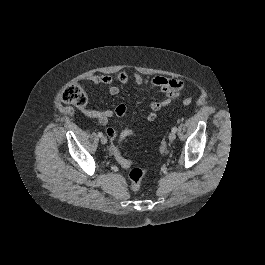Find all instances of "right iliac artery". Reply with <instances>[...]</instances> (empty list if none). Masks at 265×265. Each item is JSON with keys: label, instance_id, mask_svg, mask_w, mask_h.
Wrapping results in <instances>:
<instances>
[{"label": "right iliac artery", "instance_id": "1", "mask_svg": "<svg viewBox=\"0 0 265 265\" xmlns=\"http://www.w3.org/2000/svg\"><path fill=\"white\" fill-rule=\"evenodd\" d=\"M98 136L99 137H102L103 136V133L102 132H98Z\"/></svg>", "mask_w": 265, "mask_h": 265}]
</instances>
